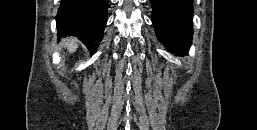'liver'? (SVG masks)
<instances>
[{"label":"liver","mask_w":257,"mask_h":130,"mask_svg":"<svg viewBox=\"0 0 257 130\" xmlns=\"http://www.w3.org/2000/svg\"><path fill=\"white\" fill-rule=\"evenodd\" d=\"M62 46L64 48H67L70 53L74 52L77 49V43L74 38L63 39Z\"/></svg>","instance_id":"liver-1"}]
</instances>
